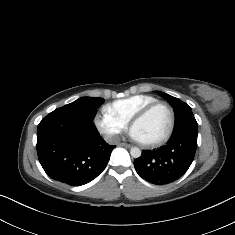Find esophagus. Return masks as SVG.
I'll return each mask as SVG.
<instances>
[{
	"instance_id": "esophagus-1",
	"label": "esophagus",
	"mask_w": 235,
	"mask_h": 235,
	"mask_svg": "<svg viewBox=\"0 0 235 235\" xmlns=\"http://www.w3.org/2000/svg\"><path fill=\"white\" fill-rule=\"evenodd\" d=\"M118 146L126 147V148H130V147H131L130 144H128V143H123V142H122V143H119Z\"/></svg>"
}]
</instances>
